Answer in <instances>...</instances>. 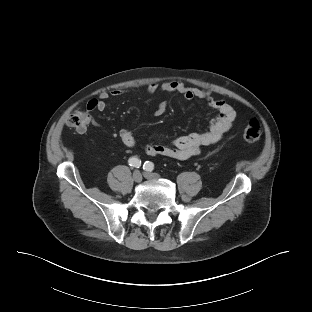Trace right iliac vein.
Here are the masks:
<instances>
[{"mask_svg": "<svg viewBox=\"0 0 312 312\" xmlns=\"http://www.w3.org/2000/svg\"><path fill=\"white\" fill-rule=\"evenodd\" d=\"M133 180L137 183H140L142 181V174L140 173V171H135L133 173Z\"/></svg>", "mask_w": 312, "mask_h": 312, "instance_id": "right-iliac-vein-1", "label": "right iliac vein"}]
</instances>
